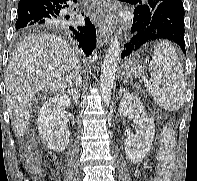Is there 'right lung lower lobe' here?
<instances>
[{
  "label": "right lung lower lobe",
  "mask_w": 197,
  "mask_h": 181,
  "mask_svg": "<svg viewBox=\"0 0 197 181\" xmlns=\"http://www.w3.org/2000/svg\"><path fill=\"white\" fill-rule=\"evenodd\" d=\"M72 1L77 2V0H20L17 10V30L30 26H43L65 31L79 43V47L87 56L90 55L96 46L95 26L89 19H85L84 25H76L64 14V10Z\"/></svg>",
  "instance_id": "98d812e1"
}]
</instances>
